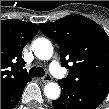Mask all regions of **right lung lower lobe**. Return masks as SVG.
Masks as SVG:
<instances>
[{
    "label": "right lung lower lobe",
    "mask_w": 109,
    "mask_h": 109,
    "mask_svg": "<svg viewBox=\"0 0 109 109\" xmlns=\"http://www.w3.org/2000/svg\"><path fill=\"white\" fill-rule=\"evenodd\" d=\"M29 81H31V79L24 81L7 92L1 94V109L14 108L22 96L24 86Z\"/></svg>",
    "instance_id": "right-lung-lower-lobe-1"
}]
</instances>
